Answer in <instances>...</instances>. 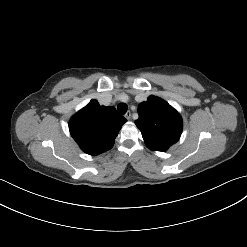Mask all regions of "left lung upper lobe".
Segmentation results:
<instances>
[{"mask_svg": "<svg viewBox=\"0 0 247 247\" xmlns=\"http://www.w3.org/2000/svg\"><path fill=\"white\" fill-rule=\"evenodd\" d=\"M139 119L135 121L147 147L166 151L175 144L182 133L183 123L179 113L163 99L150 96L138 107Z\"/></svg>", "mask_w": 247, "mask_h": 247, "instance_id": "obj_1", "label": "left lung upper lobe"}]
</instances>
